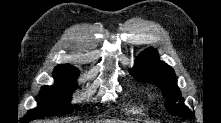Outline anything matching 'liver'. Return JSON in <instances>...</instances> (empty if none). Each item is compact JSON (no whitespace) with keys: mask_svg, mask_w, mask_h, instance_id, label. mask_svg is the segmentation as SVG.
<instances>
[{"mask_svg":"<svg viewBox=\"0 0 221 123\" xmlns=\"http://www.w3.org/2000/svg\"><path fill=\"white\" fill-rule=\"evenodd\" d=\"M41 123H47L45 121L41 122ZM106 123H126L124 121H119V120H107Z\"/></svg>","mask_w":221,"mask_h":123,"instance_id":"liver-1","label":"liver"}]
</instances>
